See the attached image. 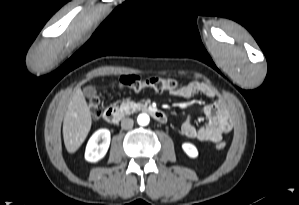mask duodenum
<instances>
[{
  "mask_svg": "<svg viewBox=\"0 0 299 205\" xmlns=\"http://www.w3.org/2000/svg\"><path fill=\"white\" fill-rule=\"evenodd\" d=\"M141 110L150 114L158 122L165 123L167 121V115L160 109L151 106H142ZM125 115V110L120 107H108L103 112V118L111 124L118 123Z\"/></svg>",
  "mask_w": 299,
  "mask_h": 205,
  "instance_id": "obj_1",
  "label": "duodenum"
}]
</instances>
